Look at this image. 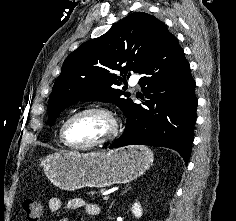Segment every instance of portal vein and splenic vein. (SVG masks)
<instances>
[{"label":"portal vein and splenic vein","instance_id":"obj_1","mask_svg":"<svg viewBox=\"0 0 236 221\" xmlns=\"http://www.w3.org/2000/svg\"><path fill=\"white\" fill-rule=\"evenodd\" d=\"M109 199V196H104L103 197V200H108Z\"/></svg>","mask_w":236,"mask_h":221}]
</instances>
